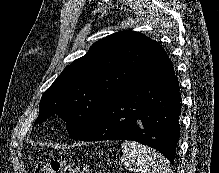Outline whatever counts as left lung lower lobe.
<instances>
[{"mask_svg":"<svg viewBox=\"0 0 219 173\" xmlns=\"http://www.w3.org/2000/svg\"><path fill=\"white\" fill-rule=\"evenodd\" d=\"M180 102L172 62L160 46L143 65L138 80L78 139L137 141L155 148L174 164Z\"/></svg>","mask_w":219,"mask_h":173,"instance_id":"left-lung-lower-lobe-1","label":"left lung lower lobe"}]
</instances>
